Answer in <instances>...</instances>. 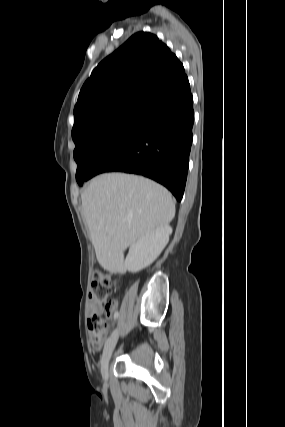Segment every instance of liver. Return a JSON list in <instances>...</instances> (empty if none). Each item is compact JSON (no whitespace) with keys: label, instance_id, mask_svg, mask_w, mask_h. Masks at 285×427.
I'll return each instance as SVG.
<instances>
[{"label":"liver","instance_id":"6515ba94","mask_svg":"<svg viewBox=\"0 0 285 427\" xmlns=\"http://www.w3.org/2000/svg\"><path fill=\"white\" fill-rule=\"evenodd\" d=\"M81 200L97 260L109 269H121L129 246L175 216L168 190L136 175H99L82 191Z\"/></svg>","mask_w":285,"mask_h":427}]
</instances>
